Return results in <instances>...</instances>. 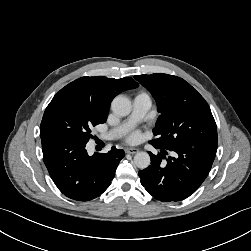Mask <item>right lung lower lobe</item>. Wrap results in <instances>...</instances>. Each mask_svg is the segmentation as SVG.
I'll use <instances>...</instances> for the list:
<instances>
[{"label": "right lung lower lobe", "instance_id": "right-lung-lower-lobe-1", "mask_svg": "<svg viewBox=\"0 0 251 251\" xmlns=\"http://www.w3.org/2000/svg\"><path fill=\"white\" fill-rule=\"evenodd\" d=\"M44 163L57 188L68 198L88 201L111 184L124 151L89 156L86 144L64 137L41 139Z\"/></svg>", "mask_w": 251, "mask_h": 251}]
</instances>
